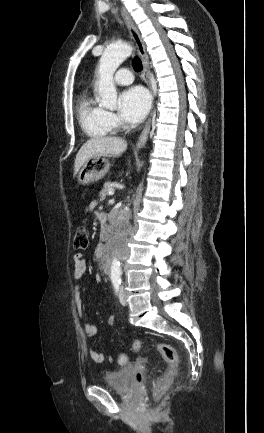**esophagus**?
<instances>
[{
	"label": "esophagus",
	"instance_id": "obj_1",
	"mask_svg": "<svg viewBox=\"0 0 264 433\" xmlns=\"http://www.w3.org/2000/svg\"><path fill=\"white\" fill-rule=\"evenodd\" d=\"M122 15L125 19L126 25L129 29V33L131 35V37L133 38L138 53L140 55L141 61H142V66H143V71H142V76L144 81L146 82L147 86L150 89L151 92V98H152V109H151V113L150 116L145 124V127L137 141L136 147L137 149L143 147L148 139V134L150 131V126H151V117H152V112H153V107H154V94L152 91V86H151V80H150V71H149V58H148V54L146 52V47L145 44L141 38V35L137 29V27L135 26L134 22L132 21L130 15L127 13V11L125 9H121Z\"/></svg>",
	"mask_w": 264,
	"mask_h": 433
}]
</instances>
